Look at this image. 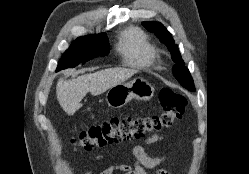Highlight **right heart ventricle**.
I'll return each mask as SVG.
<instances>
[{
	"label": "right heart ventricle",
	"instance_id": "1",
	"mask_svg": "<svg viewBox=\"0 0 249 174\" xmlns=\"http://www.w3.org/2000/svg\"><path fill=\"white\" fill-rule=\"evenodd\" d=\"M118 51L123 60L131 66L144 68L154 64V48L138 28H128L121 34Z\"/></svg>",
	"mask_w": 249,
	"mask_h": 174
}]
</instances>
